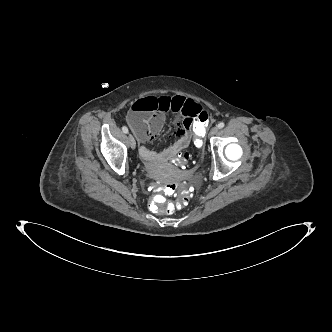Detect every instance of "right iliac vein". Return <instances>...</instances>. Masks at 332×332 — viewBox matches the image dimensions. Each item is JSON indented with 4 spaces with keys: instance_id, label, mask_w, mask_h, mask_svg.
I'll use <instances>...</instances> for the list:
<instances>
[{
    "instance_id": "63e3f726",
    "label": "right iliac vein",
    "mask_w": 332,
    "mask_h": 332,
    "mask_svg": "<svg viewBox=\"0 0 332 332\" xmlns=\"http://www.w3.org/2000/svg\"><path fill=\"white\" fill-rule=\"evenodd\" d=\"M128 141H129L130 147L132 149H135V147H136V141H135L133 135H131V134L128 135Z\"/></svg>"
}]
</instances>
